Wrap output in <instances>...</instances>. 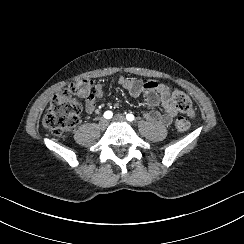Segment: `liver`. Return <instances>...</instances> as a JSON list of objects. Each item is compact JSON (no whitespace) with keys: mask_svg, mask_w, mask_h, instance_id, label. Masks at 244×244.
<instances>
[{"mask_svg":"<svg viewBox=\"0 0 244 244\" xmlns=\"http://www.w3.org/2000/svg\"><path fill=\"white\" fill-rule=\"evenodd\" d=\"M43 126H44V127H46V124H45V122H43Z\"/></svg>","mask_w":244,"mask_h":244,"instance_id":"liver-1","label":"liver"}]
</instances>
